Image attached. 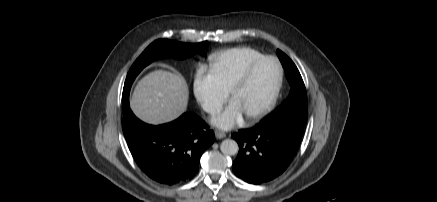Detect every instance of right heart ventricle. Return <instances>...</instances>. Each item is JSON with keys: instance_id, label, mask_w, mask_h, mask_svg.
<instances>
[{"instance_id": "1", "label": "right heart ventricle", "mask_w": 437, "mask_h": 202, "mask_svg": "<svg viewBox=\"0 0 437 202\" xmlns=\"http://www.w3.org/2000/svg\"><path fill=\"white\" fill-rule=\"evenodd\" d=\"M264 56L260 51L246 46L233 47L210 57V69L223 87L230 91L235 81L255 59Z\"/></svg>"}]
</instances>
